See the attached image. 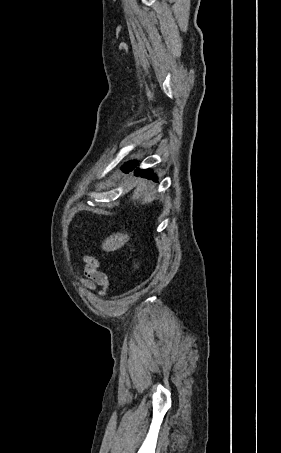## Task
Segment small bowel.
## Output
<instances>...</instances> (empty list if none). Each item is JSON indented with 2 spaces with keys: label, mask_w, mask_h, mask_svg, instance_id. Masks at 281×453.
<instances>
[{
  "label": "small bowel",
  "mask_w": 281,
  "mask_h": 453,
  "mask_svg": "<svg viewBox=\"0 0 281 453\" xmlns=\"http://www.w3.org/2000/svg\"><path fill=\"white\" fill-rule=\"evenodd\" d=\"M86 266L82 272L83 281L92 288H101L103 291L109 287L108 275L98 269V262L94 257L86 259Z\"/></svg>",
  "instance_id": "small-bowel-1"
}]
</instances>
